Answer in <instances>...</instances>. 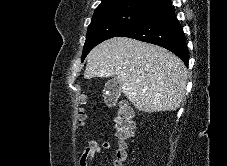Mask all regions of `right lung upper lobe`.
<instances>
[{
    "mask_svg": "<svg viewBox=\"0 0 227 166\" xmlns=\"http://www.w3.org/2000/svg\"><path fill=\"white\" fill-rule=\"evenodd\" d=\"M167 1L168 0H102V3L97 7V9L114 6V5L125 4V3H137V4L152 5L155 7H159Z\"/></svg>",
    "mask_w": 227,
    "mask_h": 166,
    "instance_id": "right-lung-upper-lobe-1",
    "label": "right lung upper lobe"
}]
</instances>
